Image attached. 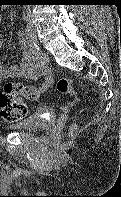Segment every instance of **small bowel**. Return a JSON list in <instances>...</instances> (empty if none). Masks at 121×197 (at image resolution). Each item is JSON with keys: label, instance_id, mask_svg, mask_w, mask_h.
I'll use <instances>...</instances> for the list:
<instances>
[{"label": "small bowel", "instance_id": "obj_1", "mask_svg": "<svg viewBox=\"0 0 121 197\" xmlns=\"http://www.w3.org/2000/svg\"><path fill=\"white\" fill-rule=\"evenodd\" d=\"M2 16L0 14V22ZM16 40L22 51V58L18 63L5 65L0 62V82L4 78L27 77L35 79L41 75L44 76V81L39 87H32L34 90V98L36 100L40 95L46 92L52 85V77L49 70L43 64L41 56L33 51L32 45L23 33L16 35ZM3 46V38L0 36V49Z\"/></svg>", "mask_w": 121, "mask_h": 197}]
</instances>
